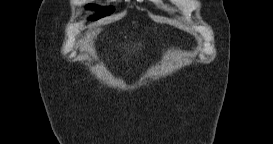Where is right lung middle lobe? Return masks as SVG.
<instances>
[{
	"label": "right lung middle lobe",
	"mask_w": 273,
	"mask_h": 144,
	"mask_svg": "<svg viewBox=\"0 0 273 144\" xmlns=\"http://www.w3.org/2000/svg\"><path fill=\"white\" fill-rule=\"evenodd\" d=\"M87 8L96 9L98 6L96 5H88ZM98 13L92 17H90L91 20H97L99 18H102L104 16L110 15L114 9L113 7H103L98 9Z\"/></svg>",
	"instance_id": "obj_1"
}]
</instances>
